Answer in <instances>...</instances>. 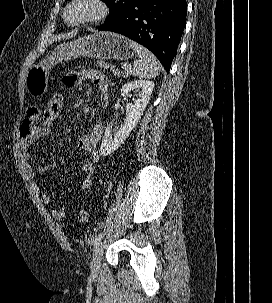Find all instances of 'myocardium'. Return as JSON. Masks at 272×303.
Segmentation results:
<instances>
[{"label": "myocardium", "instance_id": "obj_1", "mask_svg": "<svg viewBox=\"0 0 272 303\" xmlns=\"http://www.w3.org/2000/svg\"><path fill=\"white\" fill-rule=\"evenodd\" d=\"M80 3H88L94 7V12L89 16L73 21L69 18L71 9ZM109 14V6L105 0H71L64 11V21L71 26H83L89 24H95L103 21Z\"/></svg>", "mask_w": 272, "mask_h": 303}]
</instances>
